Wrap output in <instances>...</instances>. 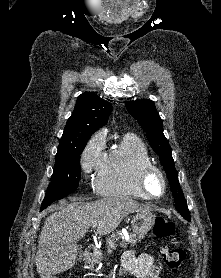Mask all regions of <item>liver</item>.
<instances>
[{"mask_svg": "<svg viewBox=\"0 0 221 278\" xmlns=\"http://www.w3.org/2000/svg\"><path fill=\"white\" fill-rule=\"evenodd\" d=\"M148 205L128 197H108L94 202L73 199L63 203L59 211L49 215L42 227L35 257L41 278H51L71 269L78 259L79 239L85 237L93 221L98 223L96 233L107 235L121 221L134 212H150Z\"/></svg>", "mask_w": 221, "mask_h": 278, "instance_id": "obj_1", "label": "liver"}]
</instances>
